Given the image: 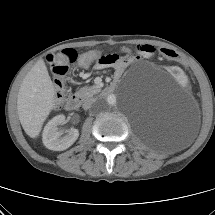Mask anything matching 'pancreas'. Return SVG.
<instances>
[{
  "instance_id": "pancreas-1",
  "label": "pancreas",
  "mask_w": 215,
  "mask_h": 215,
  "mask_svg": "<svg viewBox=\"0 0 215 215\" xmlns=\"http://www.w3.org/2000/svg\"><path fill=\"white\" fill-rule=\"evenodd\" d=\"M101 91V86L100 85H93L91 87H82L79 89L78 92H76V96L80 98H88L92 97L93 95L99 93Z\"/></svg>"
}]
</instances>
